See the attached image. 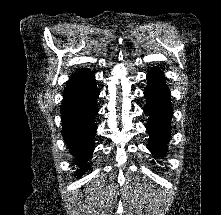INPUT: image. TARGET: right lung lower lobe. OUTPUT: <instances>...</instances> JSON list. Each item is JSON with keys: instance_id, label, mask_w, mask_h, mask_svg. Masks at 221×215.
<instances>
[{"instance_id": "obj_1", "label": "right lung lower lobe", "mask_w": 221, "mask_h": 215, "mask_svg": "<svg viewBox=\"0 0 221 215\" xmlns=\"http://www.w3.org/2000/svg\"><path fill=\"white\" fill-rule=\"evenodd\" d=\"M98 90L95 76L89 69L74 73L68 80L61 106L62 135L70 153L85 164L94 150L95 115ZM82 167L79 175L85 172Z\"/></svg>"}]
</instances>
